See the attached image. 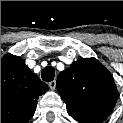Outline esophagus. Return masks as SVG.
<instances>
[{
  "mask_svg": "<svg viewBox=\"0 0 123 123\" xmlns=\"http://www.w3.org/2000/svg\"><path fill=\"white\" fill-rule=\"evenodd\" d=\"M48 85L51 90H54L56 88V81L53 80V81L49 82Z\"/></svg>",
  "mask_w": 123,
  "mask_h": 123,
  "instance_id": "obj_1",
  "label": "esophagus"
}]
</instances>
